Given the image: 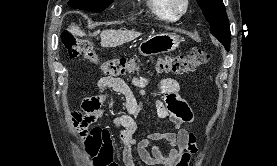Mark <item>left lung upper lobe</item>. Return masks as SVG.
<instances>
[{
    "mask_svg": "<svg viewBox=\"0 0 277 166\" xmlns=\"http://www.w3.org/2000/svg\"><path fill=\"white\" fill-rule=\"evenodd\" d=\"M211 29L210 32L225 46L230 49V26L225 11L223 0H196Z\"/></svg>",
    "mask_w": 277,
    "mask_h": 166,
    "instance_id": "left-lung-upper-lobe-1",
    "label": "left lung upper lobe"
}]
</instances>
